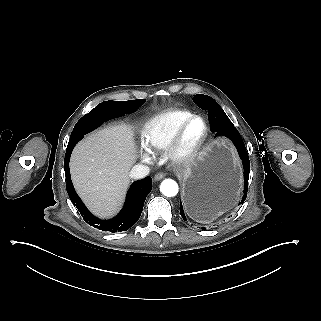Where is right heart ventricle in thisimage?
<instances>
[{
    "mask_svg": "<svg viewBox=\"0 0 321 321\" xmlns=\"http://www.w3.org/2000/svg\"><path fill=\"white\" fill-rule=\"evenodd\" d=\"M193 112L185 108H171L151 116L141 131L142 144L153 153H162L176 127Z\"/></svg>",
    "mask_w": 321,
    "mask_h": 321,
    "instance_id": "1",
    "label": "right heart ventricle"
}]
</instances>
